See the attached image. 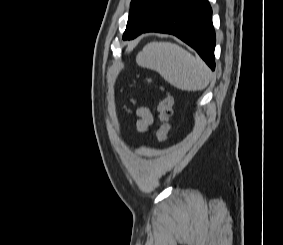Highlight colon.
I'll return each instance as SVG.
<instances>
[{
  "instance_id": "obj_1",
  "label": "colon",
  "mask_w": 283,
  "mask_h": 245,
  "mask_svg": "<svg viewBox=\"0 0 283 245\" xmlns=\"http://www.w3.org/2000/svg\"><path fill=\"white\" fill-rule=\"evenodd\" d=\"M146 81L149 83H155V80L150 77H147ZM160 89L164 91L165 95L156 106V114L159 121L157 139L159 142L163 143L168 139L170 129L169 120L173 113L174 97L170 92L165 91L162 86H160Z\"/></svg>"
}]
</instances>
